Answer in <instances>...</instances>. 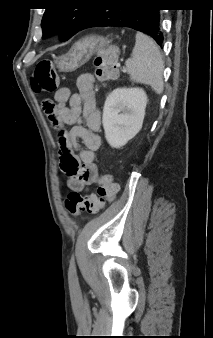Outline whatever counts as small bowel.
Instances as JSON below:
<instances>
[{"label":"small bowel","instance_id":"obj_1","mask_svg":"<svg viewBox=\"0 0 213 338\" xmlns=\"http://www.w3.org/2000/svg\"><path fill=\"white\" fill-rule=\"evenodd\" d=\"M78 92L71 94L67 87L60 88L54 95L51 114L62 125L70 126L60 141V146L68 147L73 156L81 162V169L68 176V186L76 192H84L97 174L95 152L101 141L97 132L101 124V114L96 104L94 77L84 74L76 81ZM81 140V143H79Z\"/></svg>","mask_w":213,"mask_h":338}]
</instances>
